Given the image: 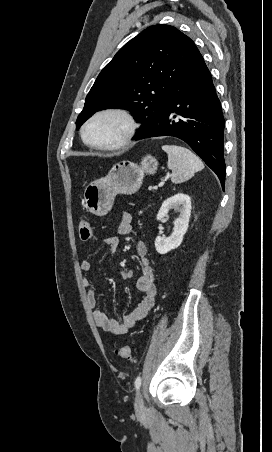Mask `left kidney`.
Here are the masks:
<instances>
[{"instance_id": "1", "label": "left kidney", "mask_w": 272, "mask_h": 452, "mask_svg": "<svg viewBox=\"0 0 272 452\" xmlns=\"http://www.w3.org/2000/svg\"><path fill=\"white\" fill-rule=\"evenodd\" d=\"M171 209H175L179 216L174 221L173 233L169 237H156L155 248L159 254H166L182 243L183 236L188 229L191 214L190 197L183 193H177L166 199L158 211L157 220L160 221L166 217Z\"/></svg>"}]
</instances>
